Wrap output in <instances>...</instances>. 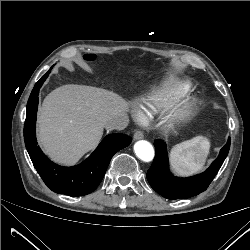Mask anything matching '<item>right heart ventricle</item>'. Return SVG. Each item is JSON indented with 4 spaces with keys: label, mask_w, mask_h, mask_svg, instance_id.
<instances>
[{
    "label": "right heart ventricle",
    "mask_w": 250,
    "mask_h": 250,
    "mask_svg": "<svg viewBox=\"0 0 250 250\" xmlns=\"http://www.w3.org/2000/svg\"><path fill=\"white\" fill-rule=\"evenodd\" d=\"M191 83L187 80L169 78L152 87L140 103L141 113L148 117L157 112L175 106L190 90Z\"/></svg>",
    "instance_id": "1"
}]
</instances>
